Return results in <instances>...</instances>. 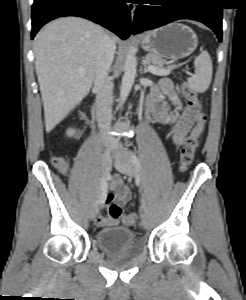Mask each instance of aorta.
<instances>
[{
	"label": "aorta",
	"instance_id": "obj_1",
	"mask_svg": "<svg viewBox=\"0 0 246 300\" xmlns=\"http://www.w3.org/2000/svg\"><path fill=\"white\" fill-rule=\"evenodd\" d=\"M136 67H137V60L134 54V49L130 48L129 52L126 56L125 65H124V75L122 77V83L120 87V102L123 103L134 84V79L136 76Z\"/></svg>",
	"mask_w": 246,
	"mask_h": 300
}]
</instances>
